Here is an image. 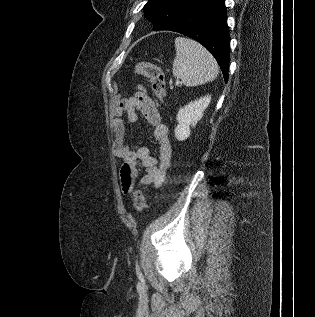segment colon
Returning a JSON list of instances; mask_svg holds the SVG:
<instances>
[{"label":"colon","instance_id":"colon-1","mask_svg":"<svg viewBox=\"0 0 315 317\" xmlns=\"http://www.w3.org/2000/svg\"><path fill=\"white\" fill-rule=\"evenodd\" d=\"M135 72L149 81L153 94L160 102H163L165 78L161 68L155 63L141 61L135 66ZM133 204L137 212H142L145 209L146 197L142 189L138 188L134 191Z\"/></svg>","mask_w":315,"mask_h":317}]
</instances>
